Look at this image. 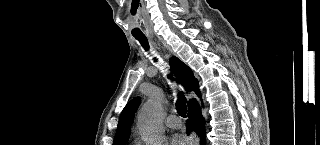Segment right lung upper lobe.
Wrapping results in <instances>:
<instances>
[{"mask_svg":"<svg viewBox=\"0 0 320 145\" xmlns=\"http://www.w3.org/2000/svg\"><path fill=\"white\" fill-rule=\"evenodd\" d=\"M171 69L174 72L177 81L187 90L195 91L200 96L198 81L194 77L192 70L177 57H171L169 60ZM196 100H190L188 107ZM140 103V98L135 97L123 109L118 128L114 137L113 145H124L130 136L131 123L134 119V113Z\"/></svg>","mask_w":320,"mask_h":145,"instance_id":"1","label":"right lung upper lobe"}]
</instances>
